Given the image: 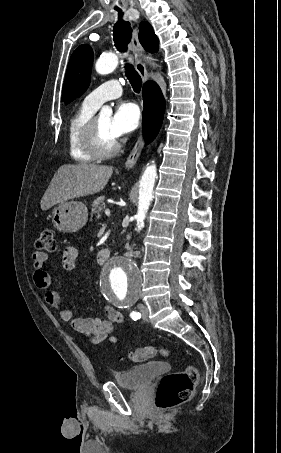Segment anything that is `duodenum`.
<instances>
[{"mask_svg":"<svg viewBox=\"0 0 281 453\" xmlns=\"http://www.w3.org/2000/svg\"><path fill=\"white\" fill-rule=\"evenodd\" d=\"M109 257L110 251L107 248H101L96 254V261L99 265H103Z\"/></svg>","mask_w":281,"mask_h":453,"instance_id":"410a0bca","label":"duodenum"}]
</instances>
